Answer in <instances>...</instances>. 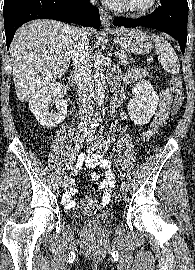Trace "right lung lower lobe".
Wrapping results in <instances>:
<instances>
[{"label":"right lung lower lobe","mask_w":195,"mask_h":270,"mask_svg":"<svg viewBox=\"0 0 195 270\" xmlns=\"http://www.w3.org/2000/svg\"><path fill=\"white\" fill-rule=\"evenodd\" d=\"M6 44L18 27L34 19H54L99 28V10L89 0H4Z\"/></svg>","instance_id":"1"}]
</instances>
